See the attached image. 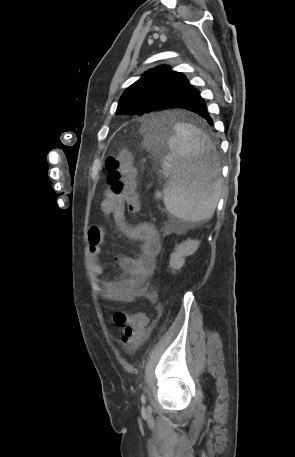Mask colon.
Masks as SVG:
<instances>
[{
	"mask_svg": "<svg viewBox=\"0 0 295 457\" xmlns=\"http://www.w3.org/2000/svg\"><path fill=\"white\" fill-rule=\"evenodd\" d=\"M107 178L111 191L126 205L132 213H138L140 202L136 192V170L132 156L122 151L106 161ZM114 322L123 328L122 343L128 346L138 345L144 338L147 328V318L138 313L128 316L123 311H116Z\"/></svg>",
	"mask_w": 295,
	"mask_h": 457,
	"instance_id": "1",
	"label": "colon"
}]
</instances>
